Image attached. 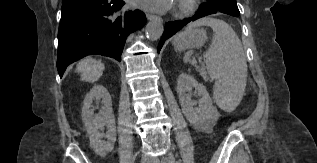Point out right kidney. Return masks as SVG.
Here are the masks:
<instances>
[{
	"instance_id": "right-kidney-1",
	"label": "right kidney",
	"mask_w": 317,
	"mask_h": 163,
	"mask_svg": "<svg viewBox=\"0 0 317 163\" xmlns=\"http://www.w3.org/2000/svg\"><path fill=\"white\" fill-rule=\"evenodd\" d=\"M102 100L103 107L99 114H94L93 101ZM82 108V120L90 139V146L99 156H106L114 149L116 141L115 118L112 110L111 96L102 85H94L86 94ZM108 128L106 134L101 133L104 127ZM106 138L107 141H103Z\"/></svg>"
}]
</instances>
